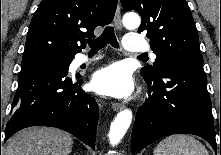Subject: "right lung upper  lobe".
I'll use <instances>...</instances> for the list:
<instances>
[{
  "instance_id": "right-lung-upper-lobe-1",
  "label": "right lung upper lobe",
  "mask_w": 221,
  "mask_h": 155,
  "mask_svg": "<svg viewBox=\"0 0 221 155\" xmlns=\"http://www.w3.org/2000/svg\"><path fill=\"white\" fill-rule=\"evenodd\" d=\"M117 0H42L27 34L23 57H74L97 26L111 23Z\"/></svg>"
}]
</instances>
